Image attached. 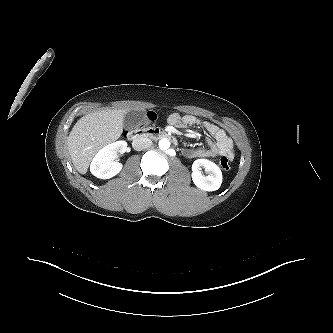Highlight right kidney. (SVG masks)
I'll return each mask as SVG.
<instances>
[{"mask_svg": "<svg viewBox=\"0 0 333 333\" xmlns=\"http://www.w3.org/2000/svg\"><path fill=\"white\" fill-rule=\"evenodd\" d=\"M126 148L125 141H116L103 147L91 162V173L100 179H109L117 175L122 169V164L114 160V157L117 153H124Z\"/></svg>", "mask_w": 333, "mask_h": 333, "instance_id": "obj_1", "label": "right kidney"}]
</instances>
